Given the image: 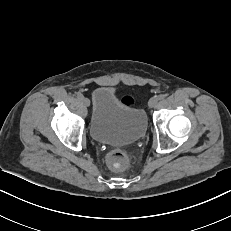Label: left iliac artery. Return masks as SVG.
I'll list each match as a JSON object with an SVG mask.
<instances>
[{"instance_id":"44dca946","label":"left iliac artery","mask_w":231,"mask_h":231,"mask_svg":"<svg viewBox=\"0 0 231 231\" xmlns=\"http://www.w3.org/2000/svg\"><path fill=\"white\" fill-rule=\"evenodd\" d=\"M164 98H165V95H164V94H160V95L158 96V99H159V100L164 99Z\"/></svg>"}]
</instances>
